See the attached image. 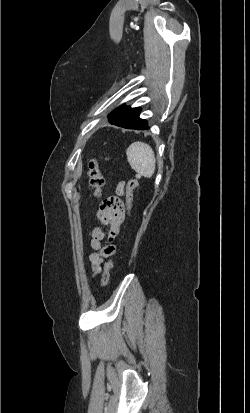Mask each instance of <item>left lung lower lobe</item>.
<instances>
[{
    "label": "left lung lower lobe",
    "mask_w": 250,
    "mask_h": 413,
    "mask_svg": "<svg viewBox=\"0 0 250 413\" xmlns=\"http://www.w3.org/2000/svg\"><path fill=\"white\" fill-rule=\"evenodd\" d=\"M139 114L140 108H130L122 105L119 108V112L108 116V121L111 124L127 129H148L146 120L140 119Z\"/></svg>",
    "instance_id": "left-lung-lower-lobe-1"
}]
</instances>
